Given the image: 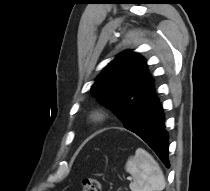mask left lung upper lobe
<instances>
[{
	"label": "left lung upper lobe",
	"mask_w": 210,
	"mask_h": 191,
	"mask_svg": "<svg viewBox=\"0 0 210 191\" xmlns=\"http://www.w3.org/2000/svg\"><path fill=\"white\" fill-rule=\"evenodd\" d=\"M146 60L138 53L125 51L110 62L96 78L91 93L99 102L111 108L130 129L127 116L153 89L154 80Z\"/></svg>",
	"instance_id": "1"
}]
</instances>
